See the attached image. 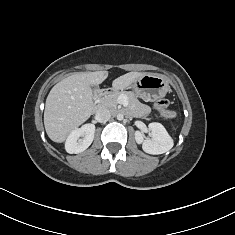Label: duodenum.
Returning <instances> with one entry per match:
<instances>
[{"label": "duodenum", "mask_w": 235, "mask_h": 235, "mask_svg": "<svg viewBox=\"0 0 235 235\" xmlns=\"http://www.w3.org/2000/svg\"><path fill=\"white\" fill-rule=\"evenodd\" d=\"M111 92H112L111 89H106V88L99 89L95 94V99H100L104 95H107Z\"/></svg>", "instance_id": "1"}]
</instances>
